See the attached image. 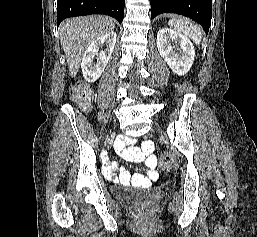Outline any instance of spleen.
<instances>
[{"label": "spleen", "mask_w": 257, "mask_h": 237, "mask_svg": "<svg viewBox=\"0 0 257 237\" xmlns=\"http://www.w3.org/2000/svg\"><path fill=\"white\" fill-rule=\"evenodd\" d=\"M169 25L173 27L175 31L188 36L196 44H200L202 36L200 29L196 25H193L191 22L186 20H171Z\"/></svg>", "instance_id": "1"}]
</instances>
